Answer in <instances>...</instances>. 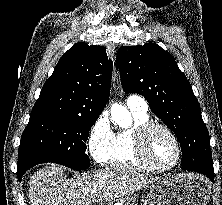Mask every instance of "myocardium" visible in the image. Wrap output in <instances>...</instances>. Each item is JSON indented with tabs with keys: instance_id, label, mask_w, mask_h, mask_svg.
Segmentation results:
<instances>
[{
	"instance_id": "1",
	"label": "myocardium",
	"mask_w": 222,
	"mask_h": 205,
	"mask_svg": "<svg viewBox=\"0 0 222 205\" xmlns=\"http://www.w3.org/2000/svg\"><path fill=\"white\" fill-rule=\"evenodd\" d=\"M154 129L163 130L170 136L175 144L176 158L175 161L169 166H161L157 164L148 153V150L146 148V139L148 134ZM135 147L139 158L151 168L159 172H169L171 170H174L180 164L182 159V147L177 135L169 126L160 122L148 121L140 125L135 131Z\"/></svg>"
}]
</instances>
